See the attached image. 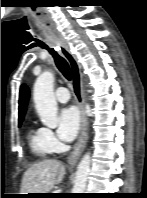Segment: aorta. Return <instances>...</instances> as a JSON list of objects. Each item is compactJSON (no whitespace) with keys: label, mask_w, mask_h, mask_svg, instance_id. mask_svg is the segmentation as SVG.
<instances>
[{"label":"aorta","mask_w":147,"mask_h":198,"mask_svg":"<svg viewBox=\"0 0 147 198\" xmlns=\"http://www.w3.org/2000/svg\"><path fill=\"white\" fill-rule=\"evenodd\" d=\"M54 74L45 71L35 81L33 99L36 111L43 123L49 128L58 126L57 102L54 97ZM91 157L86 153L81 159L75 177L72 193H84L88 173L90 171Z\"/></svg>","instance_id":"1"}]
</instances>
